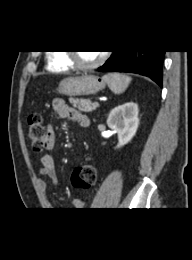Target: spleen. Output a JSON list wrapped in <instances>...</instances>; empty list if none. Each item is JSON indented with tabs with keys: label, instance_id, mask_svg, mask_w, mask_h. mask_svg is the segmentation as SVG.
<instances>
[{
	"label": "spleen",
	"instance_id": "1",
	"mask_svg": "<svg viewBox=\"0 0 192 260\" xmlns=\"http://www.w3.org/2000/svg\"><path fill=\"white\" fill-rule=\"evenodd\" d=\"M103 80L113 93L121 94L127 89L132 78L125 74L109 73L103 76Z\"/></svg>",
	"mask_w": 192,
	"mask_h": 260
}]
</instances>
